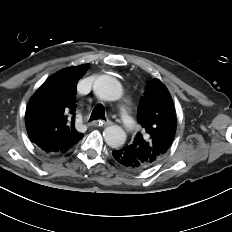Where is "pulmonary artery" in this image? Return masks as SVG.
Listing matches in <instances>:
<instances>
[{"label":"pulmonary artery","instance_id":"obj_1","mask_svg":"<svg viewBox=\"0 0 232 232\" xmlns=\"http://www.w3.org/2000/svg\"><path fill=\"white\" fill-rule=\"evenodd\" d=\"M127 119V125L130 126L131 128L135 127V123L130 119L128 116H126Z\"/></svg>","mask_w":232,"mask_h":232}]
</instances>
